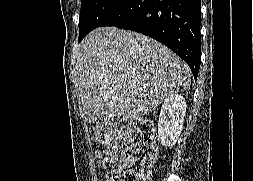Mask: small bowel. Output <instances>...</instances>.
<instances>
[{
  "mask_svg": "<svg viewBox=\"0 0 253 181\" xmlns=\"http://www.w3.org/2000/svg\"><path fill=\"white\" fill-rule=\"evenodd\" d=\"M115 152H116L115 148L114 150H110L108 148H106L105 150H98L97 151L98 166L102 168H105L107 165L115 166L118 161V159L115 156Z\"/></svg>",
  "mask_w": 253,
  "mask_h": 181,
  "instance_id": "small-bowel-1",
  "label": "small bowel"
}]
</instances>
